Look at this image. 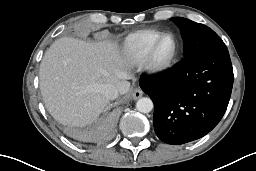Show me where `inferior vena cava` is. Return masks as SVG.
Instances as JSON below:
<instances>
[{"instance_id": "obj_1", "label": "inferior vena cava", "mask_w": 256, "mask_h": 171, "mask_svg": "<svg viewBox=\"0 0 256 171\" xmlns=\"http://www.w3.org/2000/svg\"><path fill=\"white\" fill-rule=\"evenodd\" d=\"M102 93L107 99L114 100L118 97L119 90L113 84H105L102 87Z\"/></svg>"}]
</instances>
